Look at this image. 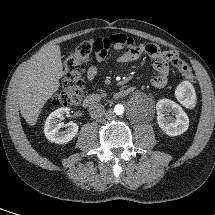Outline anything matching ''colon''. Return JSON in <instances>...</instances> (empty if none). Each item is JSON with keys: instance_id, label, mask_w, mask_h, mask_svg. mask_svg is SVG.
I'll use <instances>...</instances> for the list:
<instances>
[{"instance_id": "colon-1", "label": "colon", "mask_w": 215, "mask_h": 215, "mask_svg": "<svg viewBox=\"0 0 215 215\" xmlns=\"http://www.w3.org/2000/svg\"><path fill=\"white\" fill-rule=\"evenodd\" d=\"M94 51L95 42L87 40L79 44L74 52L64 59L63 89L53 97L55 105H73L81 100L84 89L82 79L84 63L90 59ZM172 64L180 70L185 79L194 80L191 69L183 59L177 56L172 60Z\"/></svg>"}]
</instances>
